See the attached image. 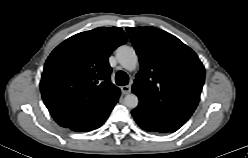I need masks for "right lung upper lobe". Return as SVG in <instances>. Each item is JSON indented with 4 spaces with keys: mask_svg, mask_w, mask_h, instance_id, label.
<instances>
[{
    "mask_svg": "<svg viewBox=\"0 0 248 158\" xmlns=\"http://www.w3.org/2000/svg\"><path fill=\"white\" fill-rule=\"evenodd\" d=\"M119 27H99L78 33L56 47L48 57L40 89L55 121L72 128L104 113L119 97L111 83L108 57L126 43Z\"/></svg>",
    "mask_w": 248,
    "mask_h": 158,
    "instance_id": "1",
    "label": "right lung upper lobe"
}]
</instances>
